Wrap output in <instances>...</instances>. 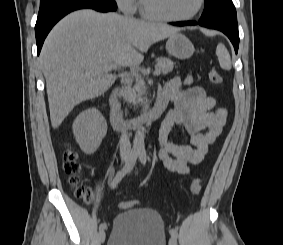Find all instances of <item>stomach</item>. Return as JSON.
I'll return each mask as SVG.
<instances>
[{
  "mask_svg": "<svg viewBox=\"0 0 283 245\" xmlns=\"http://www.w3.org/2000/svg\"><path fill=\"white\" fill-rule=\"evenodd\" d=\"M166 50L171 56L178 59L190 58L195 51L192 42L179 32L169 36L166 42Z\"/></svg>",
  "mask_w": 283,
  "mask_h": 245,
  "instance_id": "stomach-1",
  "label": "stomach"
}]
</instances>
